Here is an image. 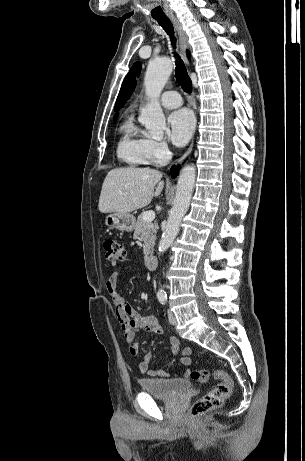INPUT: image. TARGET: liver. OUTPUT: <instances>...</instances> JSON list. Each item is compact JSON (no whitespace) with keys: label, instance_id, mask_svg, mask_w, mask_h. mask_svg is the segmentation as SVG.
Returning <instances> with one entry per match:
<instances>
[{"label":"liver","instance_id":"obj_1","mask_svg":"<svg viewBox=\"0 0 305 461\" xmlns=\"http://www.w3.org/2000/svg\"><path fill=\"white\" fill-rule=\"evenodd\" d=\"M162 173L150 168H115L106 175L99 198L102 213H129L147 206L164 188ZM157 185V187H156Z\"/></svg>","mask_w":305,"mask_h":461}]
</instances>
